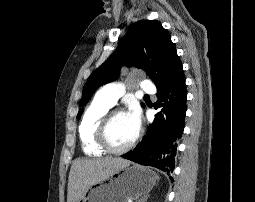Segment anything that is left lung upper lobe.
<instances>
[{
	"label": "left lung upper lobe",
	"instance_id": "obj_1",
	"mask_svg": "<svg viewBox=\"0 0 255 202\" xmlns=\"http://www.w3.org/2000/svg\"><path fill=\"white\" fill-rule=\"evenodd\" d=\"M122 66L145 69L157 90L167 87L183 72L170 34L161 23L157 20L138 21L130 26L116 51L90 75L79 105L84 106L100 86L116 80ZM82 112L83 109L77 118Z\"/></svg>",
	"mask_w": 255,
	"mask_h": 202
}]
</instances>
